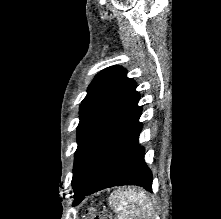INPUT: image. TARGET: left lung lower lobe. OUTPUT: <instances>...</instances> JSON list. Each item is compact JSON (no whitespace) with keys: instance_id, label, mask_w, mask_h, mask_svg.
<instances>
[{"instance_id":"0a47b994","label":"left lung lower lobe","mask_w":221,"mask_h":219,"mask_svg":"<svg viewBox=\"0 0 221 219\" xmlns=\"http://www.w3.org/2000/svg\"><path fill=\"white\" fill-rule=\"evenodd\" d=\"M139 99L111 127L91 153L74 186V205L107 187L138 185L152 190V173L139 146Z\"/></svg>"}]
</instances>
